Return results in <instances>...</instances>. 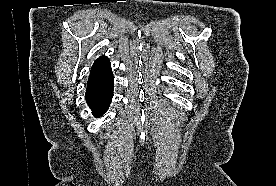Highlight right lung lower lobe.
<instances>
[{
    "instance_id": "98d812e1",
    "label": "right lung lower lobe",
    "mask_w": 276,
    "mask_h": 186,
    "mask_svg": "<svg viewBox=\"0 0 276 186\" xmlns=\"http://www.w3.org/2000/svg\"><path fill=\"white\" fill-rule=\"evenodd\" d=\"M113 76L93 83H88L86 101L95 117L102 116L109 108L113 96Z\"/></svg>"
}]
</instances>
